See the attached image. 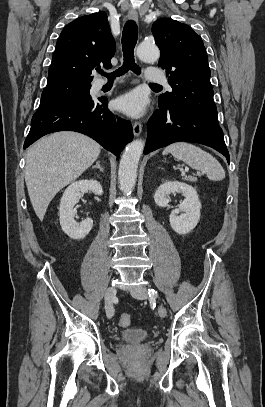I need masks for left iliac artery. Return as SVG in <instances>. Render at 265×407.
I'll return each mask as SVG.
<instances>
[{
  "instance_id": "1",
  "label": "left iliac artery",
  "mask_w": 265,
  "mask_h": 407,
  "mask_svg": "<svg viewBox=\"0 0 265 407\" xmlns=\"http://www.w3.org/2000/svg\"><path fill=\"white\" fill-rule=\"evenodd\" d=\"M148 294L150 297L155 296L157 292L154 289H148Z\"/></svg>"
}]
</instances>
